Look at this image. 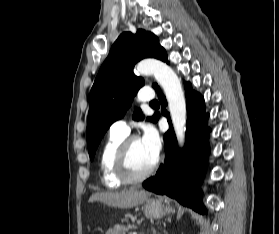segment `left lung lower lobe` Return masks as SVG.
Here are the masks:
<instances>
[{
  "label": "left lung lower lobe",
  "mask_w": 279,
  "mask_h": 234,
  "mask_svg": "<svg viewBox=\"0 0 279 234\" xmlns=\"http://www.w3.org/2000/svg\"><path fill=\"white\" fill-rule=\"evenodd\" d=\"M190 86L189 82H185L187 93L186 145L183 150L178 149L169 113L162 108V114L167 117L171 125L164 135L166 159L156 175L146 180L143 186L154 193L168 195L200 213H206V209L202 205L199 186L206 170V151L210 131L207 128L209 114L205 113L203 97L195 91L190 93ZM156 90L159 92L161 105L165 107L167 105L165 97L158 86Z\"/></svg>",
  "instance_id": "0a47b994"
}]
</instances>
